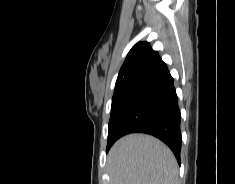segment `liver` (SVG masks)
I'll return each mask as SVG.
<instances>
[{"mask_svg":"<svg viewBox=\"0 0 235 184\" xmlns=\"http://www.w3.org/2000/svg\"><path fill=\"white\" fill-rule=\"evenodd\" d=\"M110 184H179L174 154L147 134H129L112 146L107 158Z\"/></svg>","mask_w":235,"mask_h":184,"instance_id":"liver-1","label":"liver"}]
</instances>
